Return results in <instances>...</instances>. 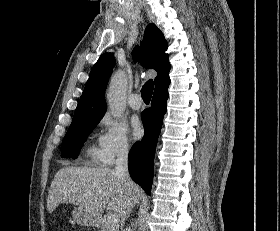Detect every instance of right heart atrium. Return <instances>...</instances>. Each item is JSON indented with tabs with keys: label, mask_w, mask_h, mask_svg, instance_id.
I'll return each instance as SVG.
<instances>
[{
	"label": "right heart atrium",
	"mask_w": 280,
	"mask_h": 231,
	"mask_svg": "<svg viewBox=\"0 0 280 231\" xmlns=\"http://www.w3.org/2000/svg\"><path fill=\"white\" fill-rule=\"evenodd\" d=\"M103 131L98 138V158L100 163L109 165L118 155L131 149V142L122 126L112 120H103Z\"/></svg>",
	"instance_id": "right-heart-atrium-1"
}]
</instances>
